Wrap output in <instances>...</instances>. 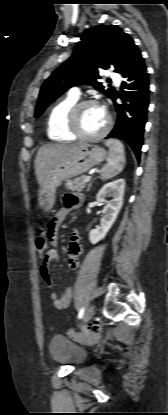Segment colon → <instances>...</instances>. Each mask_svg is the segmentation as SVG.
Here are the masks:
<instances>
[{"label":"colon","instance_id":"1","mask_svg":"<svg viewBox=\"0 0 168 415\" xmlns=\"http://www.w3.org/2000/svg\"><path fill=\"white\" fill-rule=\"evenodd\" d=\"M47 242L48 238L46 231L45 229H42L40 234L35 239V247L38 251L37 262L41 264V269L45 268V249ZM67 334L79 341H92L103 334V328L100 324H92L90 326L83 327L78 331H67Z\"/></svg>","mask_w":168,"mask_h":415}]
</instances>
